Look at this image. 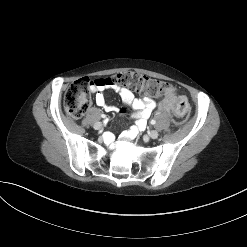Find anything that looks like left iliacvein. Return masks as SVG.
<instances>
[{
  "mask_svg": "<svg viewBox=\"0 0 247 247\" xmlns=\"http://www.w3.org/2000/svg\"><path fill=\"white\" fill-rule=\"evenodd\" d=\"M148 135L150 138L156 139L159 136V133L156 130H151Z\"/></svg>",
  "mask_w": 247,
  "mask_h": 247,
  "instance_id": "obj_1",
  "label": "left iliac vein"
}]
</instances>
